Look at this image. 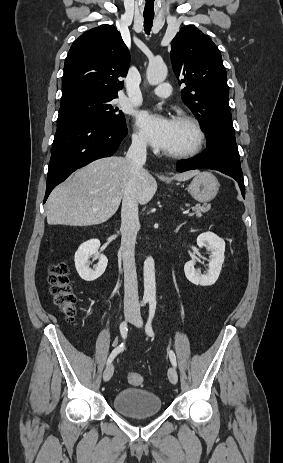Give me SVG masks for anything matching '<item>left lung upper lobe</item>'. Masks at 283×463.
<instances>
[{"label": "left lung upper lobe", "instance_id": "1", "mask_svg": "<svg viewBox=\"0 0 283 463\" xmlns=\"http://www.w3.org/2000/svg\"><path fill=\"white\" fill-rule=\"evenodd\" d=\"M170 57L185 104L201 121L208 146H220L238 154L228 105L227 74L213 41L196 27L180 29L171 42Z\"/></svg>", "mask_w": 283, "mask_h": 463}]
</instances>
